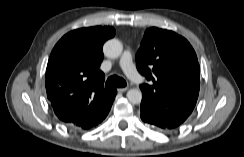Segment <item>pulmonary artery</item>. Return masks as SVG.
Masks as SVG:
<instances>
[{"mask_svg": "<svg viewBox=\"0 0 244 157\" xmlns=\"http://www.w3.org/2000/svg\"><path fill=\"white\" fill-rule=\"evenodd\" d=\"M120 66L124 73L135 83L140 84L144 81L143 77L137 72L133 62L132 53L129 49L125 50L121 59Z\"/></svg>", "mask_w": 244, "mask_h": 157, "instance_id": "e3ab8cb5", "label": "pulmonary artery"}]
</instances>
